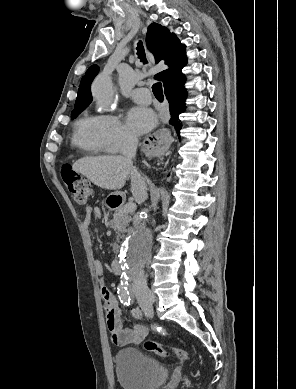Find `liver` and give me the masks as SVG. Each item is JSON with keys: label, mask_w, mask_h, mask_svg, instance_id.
<instances>
[{"label": "liver", "mask_w": 296, "mask_h": 389, "mask_svg": "<svg viewBox=\"0 0 296 389\" xmlns=\"http://www.w3.org/2000/svg\"><path fill=\"white\" fill-rule=\"evenodd\" d=\"M72 168L87 177L94 185L107 190L121 189L126 180L130 179L134 199L142 202L147 198L144 179L138 172L132 173L133 163L124 156L84 157L77 160Z\"/></svg>", "instance_id": "liver-1"}]
</instances>
